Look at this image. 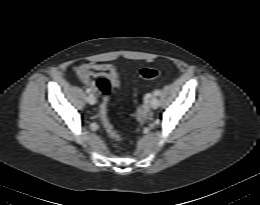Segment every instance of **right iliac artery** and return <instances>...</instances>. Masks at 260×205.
Returning <instances> with one entry per match:
<instances>
[{
  "instance_id": "right-iliac-artery-1",
  "label": "right iliac artery",
  "mask_w": 260,
  "mask_h": 205,
  "mask_svg": "<svg viewBox=\"0 0 260 205\" xmlns=\"http://www.w3.org/2000/svg\"><path fill=\"white\" fill-rule=\"evenodd\" d=\"M86 92H87V93H90V92H91V90H90V89H86Z\"/></svg>"
}]
</instances>
